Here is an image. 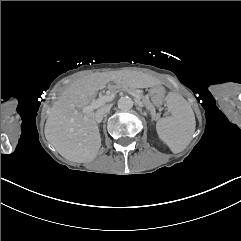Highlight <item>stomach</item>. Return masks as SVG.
Segmentation results:
<instances>
[{"label": "stomach", "instance_id": "0dacf381", "mask_svg": "<svg viewBox=\"0 0 241 241\" xmlns=\"http://www.w3.org/2000/svg\"><path fill=\"white\" fill-rule=\"evenodd\" d=\"M149 96L155 106H161L165 98V90L162 86H156L149 90Z\"/></svg>", "mask_w": 241, "mask_h": 241}]
</instances>
